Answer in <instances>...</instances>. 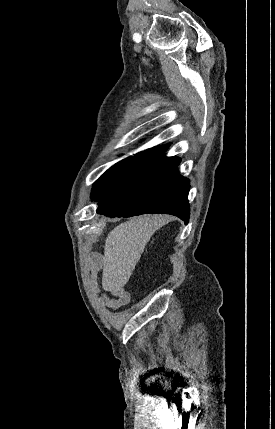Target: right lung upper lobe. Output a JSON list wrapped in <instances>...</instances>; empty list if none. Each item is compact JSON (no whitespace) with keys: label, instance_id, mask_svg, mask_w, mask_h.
Instances as JSON below:
<instances>
[{"label":"right lung upper lobe","instance_id":"obj_1","mask_svg":"<svg viewBox=\"0 0 275 429\" xmlns=\"http://www.w3.org/2000/svg\"><path fill=\"white\" fill-rule=\"evenodd\" d=\"M168 147H169V144H166L163 146L147 149L145 151H142V152L135 154V156L136 157H145V158L152 160V159L156 158L157 156L161 155L163 152H165Z\"/></svg>","mask_w":275,"mask_h":429}]
</instances>
